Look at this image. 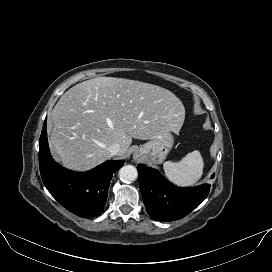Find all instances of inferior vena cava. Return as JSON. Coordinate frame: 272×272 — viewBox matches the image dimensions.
Here are the masks:
<instances>
[{"label":"inferior vena cava","mask_w":272,"mask_h":272,"mask_svg":"<svg viewBox=\"0 0 272 272\" xmlns=\"http://www.w3.org/2000/svg\"><path fill=\"white\" fill-rule=\"evenodd\" d=\"M120 145L119 144H114L112 146L109 147V152L110 154L113 156V155H117L118 152L120 151Z\"/></svg>","instance_id":"602c4592"}]
</instances>
